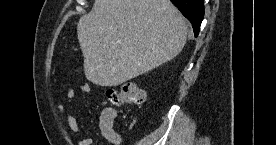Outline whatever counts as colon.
<instances>
[{"label": "colon", "instance_id": "obj_1", "mask_svg": "<svg viewBox=\"0 0 276 145\" xmlns=\"http://www.w3.org/2000/svg\"><path fill=\"white\" fill-rule=\"evenodd\" d=\"M108 99L118 106H141L145 102V92L135 83L127 81L119 89H110Z\"/></svg>", "mask_w": 276, "mask_h": 145}]
</instances>
